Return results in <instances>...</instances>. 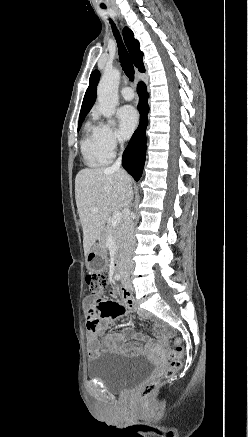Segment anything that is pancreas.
I'll return each instance as SVG.
<instances>
[{
	"instance_id": "1",
	"label": "pancreas",
	"mask_w": 248,
	"mask_h": 437,
	"mask_svg": "<svg viewBox=\"0 0 248 437\" xmlns=\"http://www.w3.org/2000/svg\"><path fill=\"white\" fill-rule=\"evenodd\" d=\"M122 232H123V226H122V224H117V225H115V226H112V224L109 223V224L104 228V231H103V234H102V238H101V242H102V244H103V245H106L107 237H108L109 235H112L113 240H114L116 246L119 247L120 244H121V240H122Z\"/></svg>"
}]
</instances>
